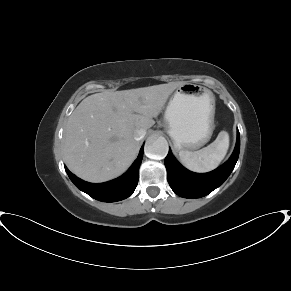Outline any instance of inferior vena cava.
Masks as SVG:
<instances>
[{"label": "inferior vena cava", "mask_w": 291, "mask_h": 291, "mask_svg": "<svg viewBox=\"0 0 291 291\" xmlns=\"http://www.w3.org/2000/svg\"><path fill=\"white\" fill-rule=\"evenodd\" d=\"M146 134V131L144 129H137L135 132H134V139L136 141H139L141 140Z\"/></svg>", "instance_id": "602c4592"}]
</instances>
